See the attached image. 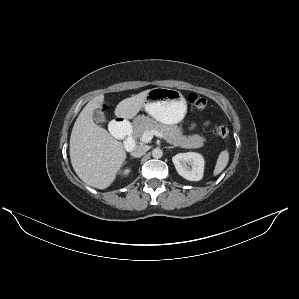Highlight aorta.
Masks as SVG:
<instances>
[{
    "mask_svg": "<svg viewBox=\"0 0 299 299\" xmlns=\"http://www.w3.org/2000/svg\"><path fill=\"white\" fill-rule=\"evenodd\" d=\"M152 156L157 159L161 158L163 156V152L160 148H155L152 150Z\"/></svg>",
    "mask_w": 299,
    "mask_h": 299,
    "instance_id": "obj_1",
    "label": "aorta"
}]
</instances>
